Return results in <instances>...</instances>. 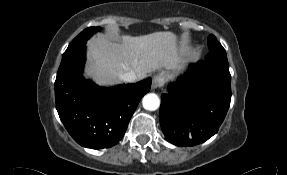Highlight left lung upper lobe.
<instances>
[{
	"instance_id": "left-lung-upper-lobe-1",
	"label": "left lung upper lobe",
	"mask_w": 287,
	"mask_h": 175,
	"mask_svg": "<svg viewBox=\"0 0 287 175\" xmlns=\"http://www.w3.org/2000/svg\"><path fill=\"white\" fill-rule=\"evenodd\" d=\"M208 47L210 52L206 56L207 60L218 61L228 65L225 49L212 34L208 37Z\"/></svg>"
}]
</instances>
